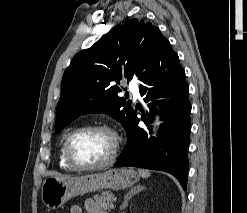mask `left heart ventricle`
<instances>
[{"label":"left heart ventricle","instance_id":"obj_1","mask_svg":"<svg viewBox=\"0 0 247 213\" xmlns=\"http://www.w3.org/2000/svg\"><path fill=\"white\" fill-rule=\"evenodd\" d=\"M114 138L103 131H92L78 135L72 144L75 158L85 164L105 161L111 155Z\"/></svg>","mask_w":247,"mask_h":213}]
</instances>
